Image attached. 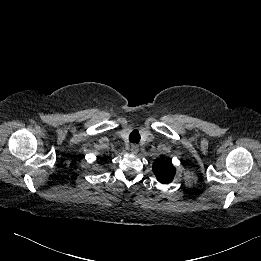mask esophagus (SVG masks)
<instances>
[{"label":"esophagus","instance_id":"esophagus-1","mask_svg":"<svg viewBox=\"0 0 261 261\" xmlns=\"http://www.w3.org/2000/svg\"><path fill=\"white\" fill-rule=\"evenodd\" d=\"M130 150H131L132 154H137L139 151V146L137 144H132Z\"/></svg>","mask_w":261,"mask_h":261}]
</instances>
